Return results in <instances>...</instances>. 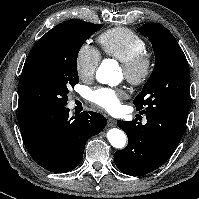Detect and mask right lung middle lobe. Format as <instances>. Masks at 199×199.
Masks as SVG:
<instances>
[{"label":"right lung middle lobe","instance_id":"obj_1","mask_svg":"<svg viewBox=\"0 0 199 199\" xmlns=\"http://www.w3.org/2000/svg\"><path fill=\"white\" fill-rule=\"evenodd\" d=\"M102 26L72 19L58 24L41 37L24 64L18 103L44 116L64 108L69 89L79 83V50Z\"/></svg>","mask_w":199,"mask_h":199}]
</instances>
